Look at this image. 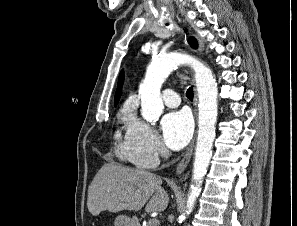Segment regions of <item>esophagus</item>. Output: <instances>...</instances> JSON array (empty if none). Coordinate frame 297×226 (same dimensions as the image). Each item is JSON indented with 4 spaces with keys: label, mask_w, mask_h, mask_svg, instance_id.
<instances>
[{
    "label": "esophagus",
    "mask_w": 297,
    "mask_h": 226,
    "mask_svg": "<svg viewBox=\"0 0 297 226\" xmlns=\"http://www.w3.org/2000/svg\"><path fill=\"white\" fill-rule=\"evenodd\" d=\"M197 102V94L195 91V104ZM193 147H194V140L193 142L190 144V146L188 147L187 151L185 152V154L183 155L182 159L180 160V162L178 163L177 167H176V174L179 175L182 172H184V170L186 169V167L188 166L191 156H192V152H193Z\"/></svg>",
    "instance_id": "esophagus-1"
}]
</instances>
